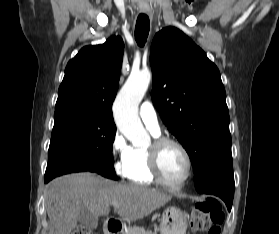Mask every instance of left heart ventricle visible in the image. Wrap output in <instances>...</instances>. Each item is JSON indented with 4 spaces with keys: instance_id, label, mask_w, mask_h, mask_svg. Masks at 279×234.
<instances>
[{
    "instance_id": "obj_1",
    "label": "left heart ventricle",
    "mask_w": 279,
    "mask_h": 234,
    "mask_svg": "<svg viewBox=\"0 0 279 234\" xmlns=\"http://www.w3.org/2000/svg\"><path fill=\"white\" fill-rule=\"evenodd\" d=\"M160 165L164 177L172 183L182 180L187 170V163L183 153L178 147L171 144L163 148Z\"/></svg>"
}]
</instances>
